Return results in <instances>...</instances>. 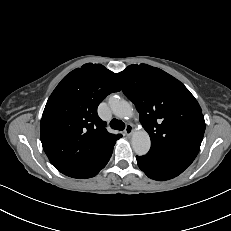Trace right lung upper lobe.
I'll list each match as a JSON object with an SVG mask.
<instances>
[{
    "label": "right lung upper lobe",
    "mask_w": 231,
    "mask_h": 231,
    "mask_svg": "<svg viewBox=\"0 0 231 231\" xmlns=\"http://www.w3.org/2000/svg\"><path fill=\"white\" fill-rule=\"evenodd\" d=\"M116 74L84 64L66 75L49 97L40 123L43 149L54 167L69 175L102 156L121 137L109 133L97 107L120 91Z\"/></svg>",
    "instance_id": "obj_1"
}]
</instances>
